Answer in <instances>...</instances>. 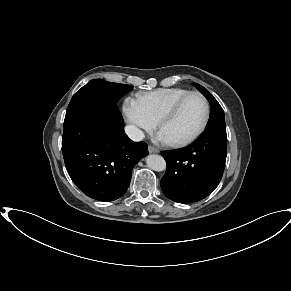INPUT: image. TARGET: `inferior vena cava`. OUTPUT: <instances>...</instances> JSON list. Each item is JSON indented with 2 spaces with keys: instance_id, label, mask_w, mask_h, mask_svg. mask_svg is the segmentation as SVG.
<instances>
[{
  "instance_id": "obj_1",
  "label": "inferior vena cava",
  "mask_w": 291,
  "mask_h": 291,
  "mask_svg": "<svg viewBox=\"0 0 291 291\" xmlns=\"http://www.w3.org/2000/svg\"><path fill=\"white\" fill-rule=\"evenodd\" d=\"M125 133L132 141L135 142L141 141L145 137L143 131L134 125H127L125 127Z\"/></svg>"
}]
</instances>
